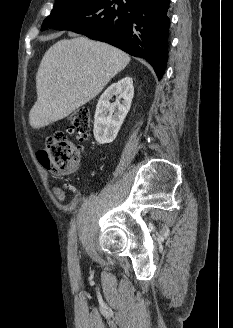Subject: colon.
I'll return each instance as SVG.
<instances>
[{"label": "colon", "mask_w": 233, "mask_h": 328, "mask_svg": "<svg viewBox=\"0 0 233 328\" xmlns=\"http://www.w3.org/2000/svg\"><path fill=\"white\" fill-rule=\"evenodd\" d=\"M68 133L75 134L79 141L89 137L91 114L86 108L74 111L68 117ZM83 148L71 142L65 132L57 131L46 141L45 148L38 151L40 164L54 174H67L80 165Z\"/></svg>", "instance_id": "5ec220e1"}]
</instances>
